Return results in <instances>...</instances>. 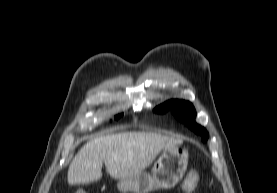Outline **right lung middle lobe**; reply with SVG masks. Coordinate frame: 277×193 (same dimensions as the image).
Segmentation results:
<instances>
[{"mask_svg":"<svg viewBox=\"0 0 277 193\" xmlns=\"http://www.w3.org/2000/svg\"><path fill=\"white\" fill-rule=\"evenodd\" d=\"M120 116H121V115H117V116H115V119H118Z\"/></svg>","mask_w":277,"mask_h":193,"instance_id":"1","label":"right lung middle lobe"}]
</instances>
